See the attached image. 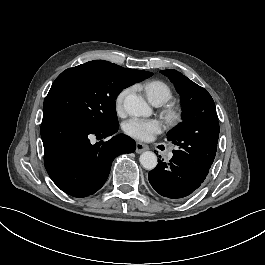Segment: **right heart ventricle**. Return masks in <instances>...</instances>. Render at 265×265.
Returning a JSON list of instances; mask_svg holds the SVG:
<instances>
[{
	"instance_id": "e07e8e85",
	"label": "right heart ventricle",
	"mask_w": 265,
	"mask_h": 265,
	"mask_svg": "<svg viewBox=\"0 0 265 265\" xmlns=\"http://www.w3.org/2000/svg\"><path fill=\"white\" fill-rule=\"evenodd\" d=\"M136 88L142 91L147 99L155 105L167 102L173 95L170 86L161 79H147L136 84Z\"/></svg>"
}]
</instances>
